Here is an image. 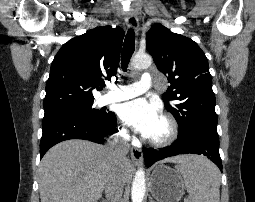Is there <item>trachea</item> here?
I'll return each instance as SVG.
<instances>
[{
  "label": "trachea",
  "instance_id": "obj_1",
  "mask_svg": "<svg viewBox=\"0 0 255 202\" xmlns=\"http://www.w3.org/2000/svg\"><path fill=\"white\" fill-rule=\"evenodd\" d=\"M135 50V33L133 29H129L124 40L123 50L121 55V67L124 71L127 70L129 60Z\"/></svg>",
  "mask_w": 255,
  "mask_h": 202
}]
</instances>
